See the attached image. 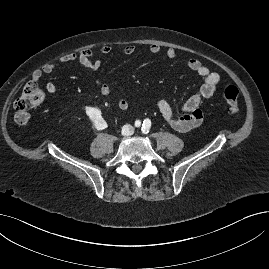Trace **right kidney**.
I'll use <instances>...</instances> for the list:
<instances>
[{"mask_svg": "<svg viewBox=\"0 0 269 269\" xmlns=\"http://www.w3.org/2000/svg\"><path fill=\"white\" fill-rule=\"evenodd\" d=\"M87 113H88L90 119H92L94 121L95 128H97V129L105 128L106 121H105V119L101 118V115L97 110L88 109Z\"/></svg>", "mask_w": 269, "mask_h": 269, "instance_id": "right-kidney-1", "label": "right kidney"}]
</instances>
